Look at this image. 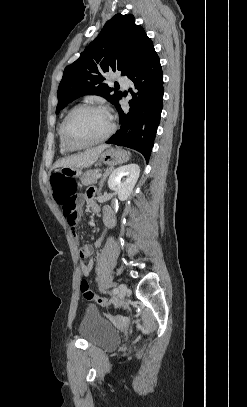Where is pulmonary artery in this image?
Returning <instances> with one entry per match:
<instances>
[{
	"label": "pulmonary artery",
	"mask_w": 247,
	"mask_h": 407,
	"mask_svg": "<svg viewBox=\"0 0 247 407\" xmlns=\"http://www.w3.org/2000/svg\"><path fill=\"white\" fill-rule=\"evenodd\" d=\"M117 81L125 87L130 84V79L127 76H118Z\"/></svg>",
	"instance_id": "obj_1"
}]
</instances>
